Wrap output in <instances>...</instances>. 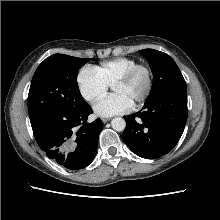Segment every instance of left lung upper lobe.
I'll use <instances>...</instances> for the list:
<instances>
[{"instance_id":"obj_1","label":"left lung upper lobe","mask_w":220,"mask_h":220,"mask_svg":"<svg viewBox=\"0 0 220 220\" xmlns=\"http://www.w3.org/2000/svg\"><path fill=\"white\" fill-rule=\"evenodd\" d=\"M140 54L148 60L153 73L152 90L146 102L167 91L186 87L177 64L169 55L154 49L140 50Z\"/></svg>"}]
</instances>
